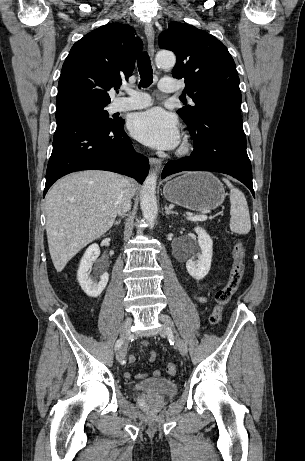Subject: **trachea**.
I'll use <instances>...</instances> for the list:
<instances>
[{
    "label": "trachea",
    "instance_id": "1",
    "mask_svg": "<svg viewBox=\"0 0 305 461\" xmlns=\"http://www.w3.org/2000/svg\"><path fill=\"white\" fill-rule=\"evenodd\" d=\"M137 66L141 78L140 86L149 87L153 81V71L151 61L147 52H143L141 56L138 58Z\"/></svg>",
    "mask_w": 305,
    "mask_h": 461
}]
</instances>
